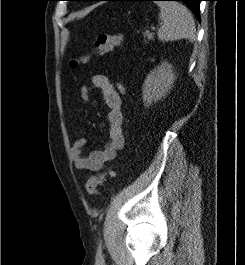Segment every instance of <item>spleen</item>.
Returning a JSON list of instances; mask_svg holds the SVG:
<instances>
[{"label": "spleen", "mask_w": 245, "mask_h": 265, "mask_svg": "<svg viewBox=\"0 0 245 265\" xmlns=\"http://www.w3.org/2000/svg\"><path fill=\"white\" fill-rule=\"evenodd\" d=\"M160 8L159 19L163 25L158 30L160 41H175L195 38V22L190 11L175 1H157Z\"/></svg>", "instance_id": "spleen-1"}]
</instances>
